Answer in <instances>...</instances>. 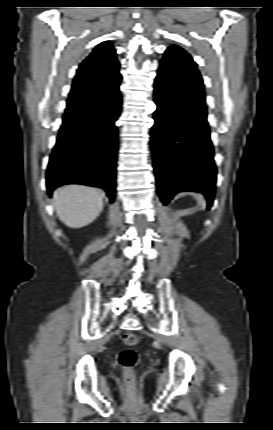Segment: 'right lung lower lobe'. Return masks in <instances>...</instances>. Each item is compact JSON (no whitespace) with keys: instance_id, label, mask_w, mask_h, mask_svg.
<instances>
[{"instance_id":"right-lung-lower-lobe-1","label":"right lung lower lobe","mask_w":273,"mask_h":430,"mask_svg":"<svg viewBox=\"0 0 273 430\" xmlns=\"http://www.w3.org/2000/svg\"><path fill=\"white\" fill-rule=\"evenodd\" d=\"M120 81L121 77L102 80L89 91L85 105L63 115L46 173L49 193L61 185L83 184L104 189L114 202Z\"/></svg>"}]
</instances>
